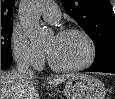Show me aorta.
Returning <instances> with one entry per match:
<instances>
[{"label": "aorta", "mask_w": 115, "mask_h": 99, "mask_svg": "<svg viewBox=\"0 0 115 99\" xmlns=\"http://www.w3.org/2000/svg\"><path fill=\"white\" fill-rule=\"evenodd\" d=\"M44 0H29L24 2L19 11V19L25 28L32 45H42L47 39V30L39 23L40 11L44 6Z\"/></svg>", "instance_id": "762f6f07"}]
</instances>
